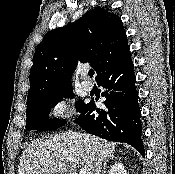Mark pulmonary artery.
<instances>
[{
    "mask_svg": "<svg viewBox=\"0 0 175 174\" xmlns=\"http://www.w3.org/2000/svg\"><path fill=\"white\" fill-rule=\"evenodd\" d=\"M84 80L82 81V86L86 91H91L93 89V83L86 79L87 72H83Z\"/></svg>",
    "mask_w": 175,
    "mask_h": 174,
    "instance_id": "1",
    "label": "pulmonary artery"
}]
</instances>
